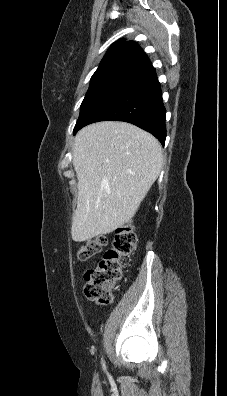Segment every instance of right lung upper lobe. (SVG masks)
Wrapping results in <instances>:
<instances>
[{
  "instance_id": "1",
  "label": "right lung upper lobe",
  "mask_w": 227,
  "mask_h": 396,
  "mask_svg": "<svg viewBox=\"0 0 227 396\" xmlns=\"http://www.w3.org/2000/svg\"><path fill=\"white\" fill-rule=\"evenodd\" d=\"M149 61L145 52L134 41L121 39L111 45L95 73L112 69L134 72Z\"/></svg>"
}]
</instances>
